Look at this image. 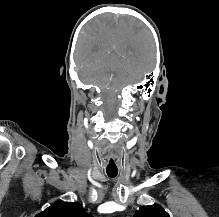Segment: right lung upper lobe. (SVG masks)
Listing matches in <instances>:
<instances>
[{
  "mask_svg": "<svg viewBox=\"0 0 219 217\" xmlns=\"http://www.w3.org/2000/svg\"><path fill=\"white\" fill-rule=\"evenodd\" d=\"M36 217H92L77 202H55Z\"/></svg>",
  "mask_w": 219,
  "mask_h": 217,
  "instance_id": "right-lung-upper-lobe-1",
  "label": "right lung upper lobe"
}]
</instances>
